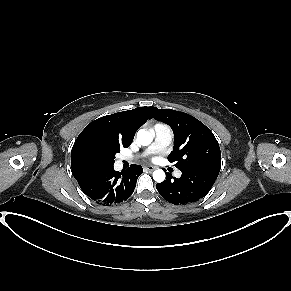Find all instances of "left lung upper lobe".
Segmentation results:
<instances>
[{"label": "left lung upper lobe", "instance_id": "left-lung-upper-lobe-1", "mask_svg": "<svg viewBox=\"0 0 291 291\" xmlns=\"http://www.w3.org/2000/svg\"><path fill=\"white\" fill-rule=\"evenodd\" d=\"M151 117L168 124L174 132V148L168 156L180 170L190 167L220 169L221 152L211 130L195 117L172 109L154 108Z\"/></svg>", "mask_w": 291, "mask_h": 291}]
</instances>
